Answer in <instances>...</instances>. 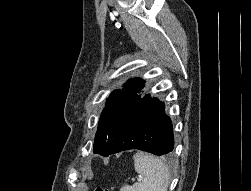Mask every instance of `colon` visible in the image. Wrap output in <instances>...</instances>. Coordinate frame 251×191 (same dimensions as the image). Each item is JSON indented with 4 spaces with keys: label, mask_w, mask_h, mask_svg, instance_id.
Masks as SVG:
<instances>
[{
    "label": "colon",
    "mask_w": 251,
    "mask_h": 191,
    "mask_svg": "<svg viewBox=\"0 0 251 191\" xmlns=\"http://www.w3.org/2000/svg\"><path fill=\"white\" fill-rule=\"evenodd\" d=\"M96 191H109V190L105 188H97Z\"/></svg>",
    "instance_id": "1"
}]
</instances>
